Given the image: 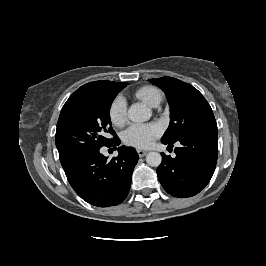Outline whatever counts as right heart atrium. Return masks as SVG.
I'll list each match as a JSON object with an SVG mask.
<instances>
[{"label": "right heart atrium", "instance_id": "right-heart-atrium-1", "mask_svg": "<svg viewBox=\"0 0 266 266\" xmlns=\"http://www.w3.org/2000/svg\"><path fill=\"white\" fill-rule=\"evenodd\" d=\"M109 115L112 123L116 126H122L127 121V106L123 97L118 96L110 106Z\"/></svg>", "mask_w": 266, "mask_h": 266}]
</instances>
